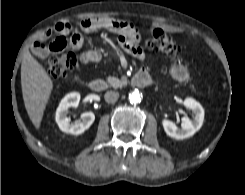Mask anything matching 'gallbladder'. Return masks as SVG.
I'll use <instances>...</instances> for the list:
<instances>
[{"mask_svg": "<svg viewBox=\"0 0 245 195\" xmlns=\"http://www.w3.org/2000/svg\"><path fill=\"white\" fill-rule=\"evenodd\" d=\"M48 52H49V51L47 50V48L42 49L41 52H40V56H41V57H44V56H46V55L48 54Z\"/></svg>", "mask_w": 245, "mask_h": 195, "instance_id": "obj_1", "label": "gallbladder"}]
</instances>
